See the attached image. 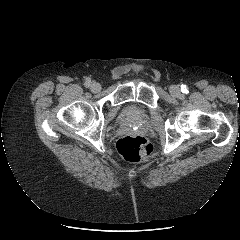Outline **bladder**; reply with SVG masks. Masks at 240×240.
Returning <instances> with one entry per match:
<instances>
[{
  "label": "bladder",
  "mask_w": 240,
  "mask_h": 240,
  "mask_svg": "<svg viewBox=\"0 0 240 240\" xmlns=\"http://www.w3.org/2000/svg\"><path fill=\"white\" fill-rule=\"evenodd\" d=\"M127 115H128V116H137L138 113H136V112L133 111V110H129V111H127Z\"/></svg>",
  "instance_id": "31cf9c89"
}]
</instances>
